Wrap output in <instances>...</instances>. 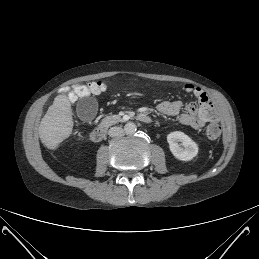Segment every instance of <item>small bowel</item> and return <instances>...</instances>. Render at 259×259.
I'll list each match as a JSON object with an SVG mask.
<instances>
[{"instance_id": "small-bowel-1", "label": "small bowel", "mask_w": 259, "mask_h": 259, "mask_svg": "<svg viewBox=\"0 0 259 259\" xmlns=\"http://www.w3.org/2000/svg\"><path fill=\"white\" fill-rule=\"evenodd\" d=\"M199 99L200 105L189 103L186 110L182 112V102L179 100L162 101L157 105V110L167 116H178L179 122L194 129L202 128L209 120L206 117L204 103Z\"/></svg>"}]
</instances>
